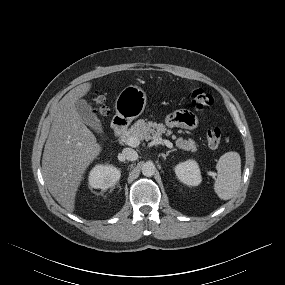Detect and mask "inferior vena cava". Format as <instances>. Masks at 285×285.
<instances>
[{
    "label": "inferior vena cava",
    "instance_id": "1",
    "mask_svg": "<svg viewBox=\"0 0 285 285\" xmlns=\"http://www.w3.org/2000/svg\"><path fill=\"white\" fill-rule=\"evenodd\" d=\"M122 157L128 161H135L138 159V153L132 148H124L122 150Z\"/></svg>",
    "mask_w": 285,
    "mask_h": 285
}]
</instances>
